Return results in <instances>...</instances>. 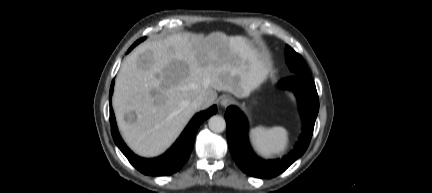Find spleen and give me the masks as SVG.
<instances>
[{"mask_svg":"<svg viewBox=\"0 0 432 193\" xmlns=\"http://www.w3.org/2000/svg\"><path fill=\"white\" fill-rule=\"evenodd\" d=\"M250 139L255 151L264 158L281 155L288 147V132L280 126L256 127L250 131Z\"/></svg>","mask_w":432,"mask_h":193,"instance_id":"3e777b00","label":"spleen"}]
</instances>
